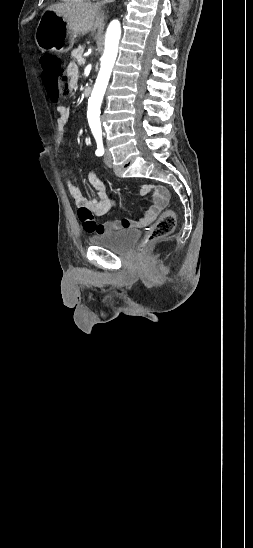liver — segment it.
Returning <instances> with one entry per match:
<instances>
[{"label": "liver", "instance_id": "obj_1", "mask_svg": "<svg viewBox=\"0 0 253 548\" xmlns=\"http://www.w3.org/2000/svg\"><path fill=\"white\" fill-rule=\"evenodd\" d=\"M46 10L61 16L74 38L101 27L104 19L98 3H57Z\"/></svg>", "mask_w": 253, "mask_h": 548}]
</instances>
